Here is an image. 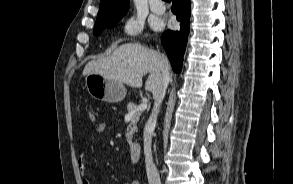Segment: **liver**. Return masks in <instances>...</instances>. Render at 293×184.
Masks as SVG:
<instances>
[{"label":"liver","mask_w":293,"mask_h":184,"mask_svg":"<svg viewBox=\"0 0 293 184\" xmlns=\"http://www.w3.org/2000/svg\"><path fill=\"white\" fill-rule=\"evenodd\" d=\"M160 54L140 43H127L107 57L89 61L83 75L100 74L135 88L142 86V78L149 73L145 89L157 92L162 83Z\"/></svg>","instance_id":"1"}]
</instances>
